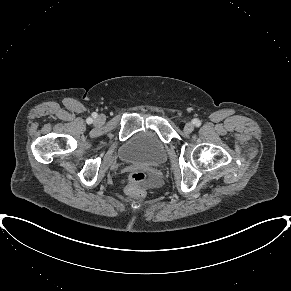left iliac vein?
<instances>
[{
  "mask_svg": "<svg viewBox=\"0 0 291 291\" xmlns=\"http://www.w3.org/2000/svg\"><path fill=\"white\" fill-rule=\"evenodd\" d=\"M194 130V125L192 123H186L184 126V131L186 133H191Z\"/></svg>",
  "mask_w": 291,
  "mask_h": 291,
  "instance_id": "1",
  "label": "left iliac vein"
}]
</instances>
